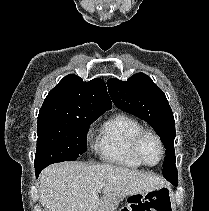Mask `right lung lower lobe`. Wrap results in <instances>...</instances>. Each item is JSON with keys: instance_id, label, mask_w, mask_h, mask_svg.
Listing matches in <instances>:
<instances>
[{"instance_id": "1", "label": "right lung lower lobe", "mask_w": 209, "mask_h": 211, "mask_svg": "<svg viewBox=\"0 0 209 211\" xmlns=\"http://www.w3.org/2000/svg\"><path fill=\"white\" fill-rule=\"evenodd\" d=\"M42 169H35L36 172V177H38L39 173L41 172Z\"/></svg>"}]
</instances>
